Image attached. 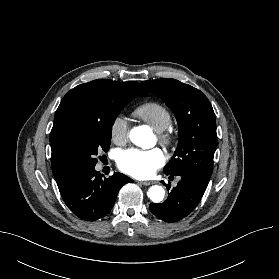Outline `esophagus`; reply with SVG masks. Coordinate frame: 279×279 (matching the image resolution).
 Returning a JSON list of instances; mask_svg holds the SVG:
<instances>
[{
  "instance_id": "34e87169",
  "label": "esophagus",
  "mask_w": 279,
  "mask_h": 279,
  "mask_svg": "<svg viewBox=\"0 0 279 279\" xmlns=\"http://www.w3.org/2000/svg\"><path fill=\"white\" fill-rule=\"evenodd\" d=\"M153 183H154L153 181H141L140 182V184L145 185V186L151 185Z\"/></svg>"
}]
</instances>
